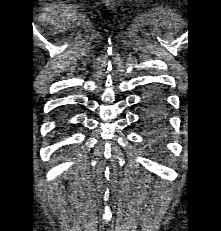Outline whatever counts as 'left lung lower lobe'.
Here are the masks:
<instances>
[{
  "instance_id": "obj_1",
  "label": "left lung lower lobe",
  "mask_w": 221,
  "mask_h": 231,
  "mask_svg": "<svg viewBox=\"0 0 221 231\" xmlns=\"http://www.w3.org/2000/svg\"><path fill=\"white\" fill-rule=\"evenodd\" d=\"M153 95H155V96H158V97H159V95H158V94H156V93H154Z\"/></svg>"
}]
</instances>
